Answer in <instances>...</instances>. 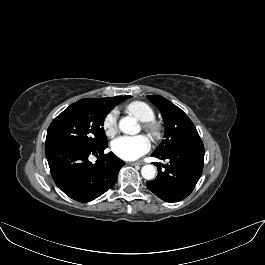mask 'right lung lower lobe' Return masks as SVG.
I'll use <instances>...</instances> for the list:
<instances>
[{
	"mask_svg": "<svg viewBox=\"0 0 265 265\" xmlns=\"http://www.w3.org/2000/svg\"><path fill=\"white\" fill-rule=\"evenodd\" d=\"M107 146L87 148L74 143L45 144L46 157L56 185L79 202L92 201L110 189L125 163L111 152L104 154ZM91 154H99L94 164L88 160Z\"/></svg>",
	"mask_w": 265,
	"mask_h": 265,
	"instance_id": "obj_1",
	"label": "right lung lower lobe"
}]
</instances>
